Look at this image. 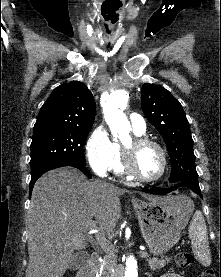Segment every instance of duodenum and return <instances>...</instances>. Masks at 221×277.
Here are the masks:
<instances>
[{
  "label": "duodenum",
  "mask_w": 221,
  "mask_h": 277,
  "mask_svg": "<svg viewBox=\"0 0 221 277\" xmlns=\"http://www.w3.org/2000/svg\"><path fill=\"white\" fill-rule=\"evenodd\" d=\"M101 257L98 253H93L87 266L81 269L77 277H93L94 273L99 269Z\"/></svg>",
  "instance_id": "410a0bca"
}]
</instances>
